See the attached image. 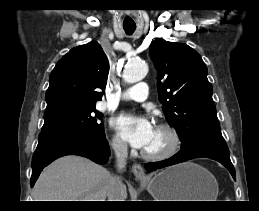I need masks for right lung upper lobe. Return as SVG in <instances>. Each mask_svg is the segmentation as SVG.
Here are the masks:
<instances>
[{
	"instance_id": "cb5924a9",
	"label": "right lung upper lobe",
	"mask_w": 259,
	"mask_h": 211,
	"mask_svg": "<svg viewBox=\"0 0 259 211\" xmlns=\"http://www.w3.org/2000/svg\"><path fill=\"white\" fill-rule=\"evenodd\" d=\"M108 72V59L96 41L71 49L50 75L44 123L95 107L96 101L102 99Z\"/></svg>"
}]
</instances>
